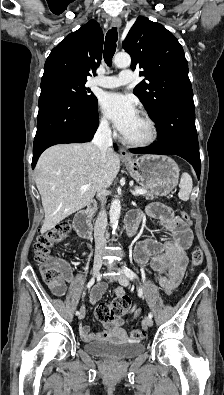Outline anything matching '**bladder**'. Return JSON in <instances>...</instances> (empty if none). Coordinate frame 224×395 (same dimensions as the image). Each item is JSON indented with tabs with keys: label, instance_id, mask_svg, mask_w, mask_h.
Here are the masks:
<instances>
[{
	"label": "bladder",
	"instance_id": "1",
	"mask_svg": "<svg viewBox=\"0 0 224 395\" xmlns=\"http://www.w3.org/2000/svg\"><path fill=\"white\" fill-rule=\"evenodd\" d=\"M84 348L93 355L112 359H128L142 353L145 345L138 341L103 340L87 343Z\"/></svg>",
	"mask_w": 224,
	"mask_h": 395
}]
</instances>
